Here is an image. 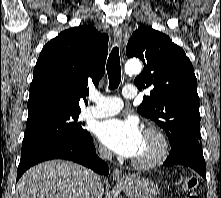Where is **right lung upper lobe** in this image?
<instances>
[{"label":"right lung upper lobe","mask_w":221,"mask_h":198,"mask_svg":"<svg viewBox=\"0 0 221 198\" xmlns=\"http://www.w3.org/2000/svg\"><path fill=\"white\" fill-rule=\"evenodd\" d=\"M99 38V39H98ZM108 35L90 25L61 32L42 49L33 72L27 122L80 112L79 101L105 72Z\"/></svg>","instance_id":"1"}]
</instances>
